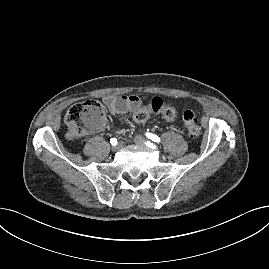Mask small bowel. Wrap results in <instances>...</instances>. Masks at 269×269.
<instances>
[{
	"label": "small bowel",
	"mask_w": 269,
	"mask_h": 269,
	"mask_svg": "<svg viewBox=\"0 0 269 269\" xmlns=\"http://www.w3.org/2000/svg\"><path fill=\"white\" fill-rule=\"evenodd\" d=\"M103 102L112 114L122 116L128 112H135L141 103V98L136 95L108 96L103 99ZM104 126L105 122L100 129Z\"/></svg>",
	"instance_id": "small-bowel-1"
}]
</instances>
